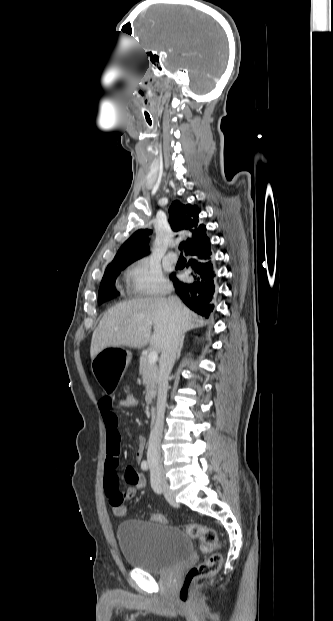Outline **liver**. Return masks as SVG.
Returning <instances> with one entry per match:
<instances>
[{
	"instance_id": "6515ba94",
	"label": "liver",
	"mask_w": 333,
	"mask_h": 621,
	"mask_svg": "<svg viewBox=\"0 0 333 621\" xmlns=\"http://www.w3.org/2000/svg\"><path fill=\"white\" fill-rule=\"evenodd\" d=\"M172 314L166 298H137L116 304L104 314L93 332L91 359L108 347L141 349L148 343L162 352ZM176 318L182 332L206 325L204 318L198 317L181 302ZM151 326H154L153 334Z\"/></svg>"
}]
</instances>
